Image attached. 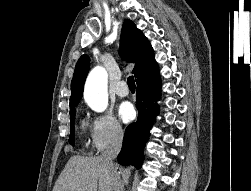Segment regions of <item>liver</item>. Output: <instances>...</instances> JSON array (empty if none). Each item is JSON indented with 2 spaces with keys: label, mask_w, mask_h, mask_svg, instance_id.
<instances>
[{
  "label": "liver",
  "mask_w": 251,
  "mask_h": 191,
  "mask_svg": "<svg viewBox=\"0 0 251 191\" xmlns=\"http://www.w3.org/2000/svg\"><path fill=\"white\" fill-rule=\"evenodd\" d=\"M117 163H106L102 157L72 155L62 169L53 191H116Z\"/></svg>",
  "instance_id": "obj_1"
}]
</instances>
